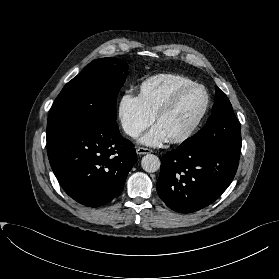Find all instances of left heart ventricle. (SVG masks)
Instances as JSON below:
<instances>
[{
  "mask_svg": "<svg viewBox=\"0 0 279 279\" xmlns=\"http://www.w3.org/2000/svg\"><path fill=\"white\" fill-rule=\"evenodd\" d=\"M205 93L201 89H193L185 93L175 108L158 123L168 138L184 133L194 122L203 108Z\"/></svg>",
  "mask_w": 279,
  "mask_h": 279,
  "instance_id": "left-heart-ventricle-1",
  "label": "left heart ventricle"
}]
</instances>
